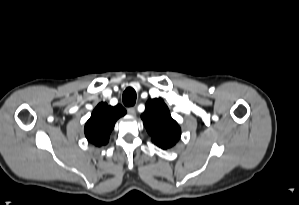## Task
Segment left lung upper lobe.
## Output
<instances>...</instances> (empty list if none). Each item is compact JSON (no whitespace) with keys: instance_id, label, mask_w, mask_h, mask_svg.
Returning <instances> with one entry per match:
<instances>
[{"instance_id":"1","label":"left lung upper lobe","mask_w":299,"mask_h":205,"mask_svg":"<svg viewBox=\"0 0 299 205\" xmlns=\"http://www.w3.org/2000/svg\"><path fill=\"white\" fill-rule=\"evenodd\" d=\"M141 118L151 135L152 142L158 147L171 148L180 139L181 129L172 119L168 107L161 98L148 100Z\"/></svg>"}]
</instances>
